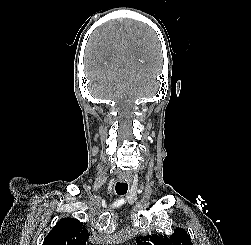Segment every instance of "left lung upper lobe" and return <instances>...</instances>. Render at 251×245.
Here are the masks:
<instances>
[{"label": "left lung upper lobe", "instance_id": "obj_1", "mask_svg": "<svg viewBox=\"0 0 251 245\" xmlns=\"http://www.w3.org/2000/svg\"><path fill=\"white\" fill-rule=\"evenodd\" d=\"M137 245H193L190 236L182 228H176L171 236L165 234H153L139 236Z\"/></svg>", "mask_w": 251, "mask_h": 245}]
</instances>
